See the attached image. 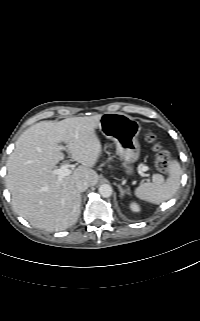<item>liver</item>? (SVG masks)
I'll return each mask as SVG.
<instances>
[{"instance_id":"6515ba94","label":"liver","mask_w":200,"mask_h":321,"mask_svg":"<svg viewBox=\"0 0 200 321\" xmlns=\"http://www.w3.org/2000/svg\"><path fill=\"white\" fill-rule=\"evenodd\" d=\"M101 115L41 121L24 131L7 161L6 186L15 212L32 226L61 231L75 224L80 215L78 180L98 183L92 169L102 148L95 129ZM81 165L59 180L51 171L64 158L59 143Z\"/></svg>"}]
</instances>
